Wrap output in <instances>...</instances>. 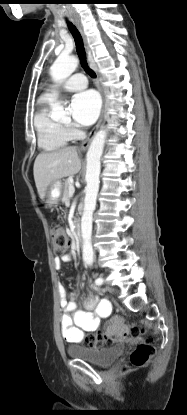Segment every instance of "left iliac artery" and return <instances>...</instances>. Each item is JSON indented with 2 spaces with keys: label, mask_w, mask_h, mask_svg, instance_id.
I'll return each instance as SVG.
<instances>
[{
  "label": "left iliac artery",
  "mask_w": 187,
  "mask_h": 415,
  "mask_svg": "<svg viewBox=\"0 0 187 415\" xmlns=\"http://www.w3.org/2000/svg\"><path fill=\"white\" fill-rule=\"evenodd\" d=\"M103 282H104V280L101 277L97 278L96 281H95L96 285H102Z\"/></svg>",
  "instance_id": "obj_1"
}]
</instances>
